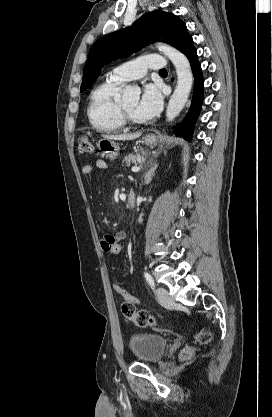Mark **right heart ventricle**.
<instances>
[{
    "label": "right heart ventricle",
    "mask_w": 272,
    "mask_h": 417,
    "mask_svg": "<svg viewBox=\"0 0 272 417\" xmlns=\"http://www.w3.org/2000/svg\"><path fill=\"white\" fill-rule=\"evenodd\" d=\"M122 83L108 77L91 92L87 108L90 124L99 132L115 133L123 128L118 96Z\"/></svg>",
    "instance_id": "obj_1"
}]
</instances>
